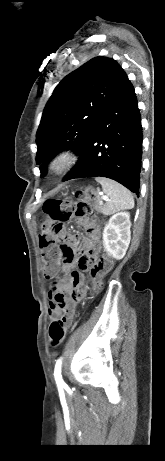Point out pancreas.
I'll return each instance as SVG.
<instances>
[{"instance_id": "pancreas-1", "label": "pancreas", "mask_w": 165, "mask_h": 461, "mask_svg": "<svg viewBox=\"0 0 165 461\" xmlns=\"http://www.w3.org/2000/svg\"><path fill=\"white\" fill-rule=\"evenodd\" d=\"M99 198L96 200L95 209L102 212V206L99 204Z\"/></svg>"}]
</instances>
